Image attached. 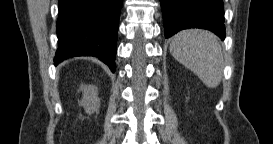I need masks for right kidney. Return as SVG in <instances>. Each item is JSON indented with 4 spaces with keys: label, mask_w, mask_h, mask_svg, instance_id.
<instances>
[{
    "label": "right kidney",
    "mask_w": 273,
    "mask_h": 144,
    "mask_svg": "<svg viewBox=\"0 0 273 144\" xmlns=\"http://www.w3.org/2000/svg\"><path fill=\"white\" fill-rule=\"evenodd\" d=\"M84 97L81 101V105L84 107L86 113L91 114L94 111V103L98 102L97 88L93 85L82 87Z\"/></svg>",
    "instance_id": "obj_1"
}]
</instances>
